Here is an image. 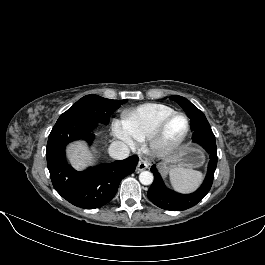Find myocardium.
Here are the masks:
<instances>
[{
	"mask_svg": "<svg viewBox=\"0 0 265 265\" xmlns=\"http://www.w3.org/2000/svg\"><path fill=\"white\" fill-rule=\"evenodd\" d=\"M174 116H181L186 121V127L182 135L171 142H167L164 140L163 135L165 132V129L170 122V120ZM190 130V120L188 116L180 111H172L169 114L165 115L155 126L153 131L149 134V136L146 138V142L148 147L155 153L158 154H168L175 149H177L186 139L188 133Z\"/></svg>",
	"mask_w": 265,
	"mask_h": 265,
	"instance_id": "1",
	"label": "myocardium"
}]
</instances>
